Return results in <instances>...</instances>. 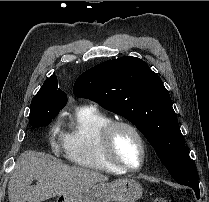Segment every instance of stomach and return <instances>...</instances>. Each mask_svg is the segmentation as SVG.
<instances>
[{
  "mask_svg": "<svg viewBox=\"0 0 209 202\" xmlns=\"http://www.w3.org/2000/svg\"><path fill=\"white\" fill-rule=\"evenodd\" d=\"M143 195L141 184L133 179L99 182L58 196L56 202H136Z\"/></svg>",
  "mask_w": 209,
  "mask_h": 202,
  "instance_id": "stomach-1",
  "label": "stomach"
}]
</instances>
